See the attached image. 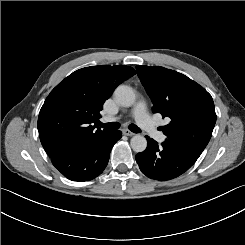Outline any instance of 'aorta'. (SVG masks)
I'll use <instances>...</instances> for the list:
<instances>
[{"instance_id":"aorta-1","label":"aorta","mask_w":245,"mask_h":245,"mask_svg":"<svg viewBox=\"0 0 245 245\" xmlns=\"http://www.w3.org/2000/svg\"><path fill=\"white\" fill-rule=\"evenodd\" d=\"M116 102L123 107H130L135 103L134 90L127 85L118 86L115 91ZM131 147L135 152H143L147 147V140L142 135H135L131 138Z\"/></svg>"}]
</instances>
